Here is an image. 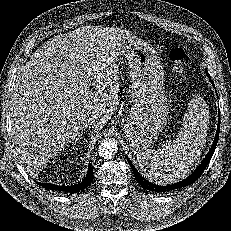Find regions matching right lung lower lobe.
I'll return each instance as SVG.
<instances>
[{"mask_svg": "<svg viewBox=\"0 0 231 231\" xmlns=\"http://www.w3.org/2000/svg\"><path fill=\"white\" fill-rule=\"evenodd\" d=\"M93 180V168L89 164L88 166V172L85 177V179L75 185L72 186H58L50 183H38L40 186L49 189V190H57V191H65V192H70V193H76L79 192L83 189H85Z\"/></svg>", "mask_w": 231, "mask_h": 231, "instance_id": "obj_1", "label": "right lung lower lobe"}]
</instances>
